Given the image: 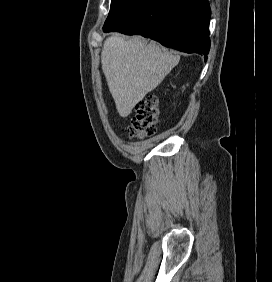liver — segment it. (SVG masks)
I'll return each mask as SVG.
<instances>
[{"label":"liver","instance_id":"6515ba94","mask_svg":"<svg viewBox=\"0 0 272 282\" xmlns=\"http://www.w3.org/2000/svg\"><path fill=\"white\" fill-rule=\"evenodd\" d=\"M179 60V55L161 49L155 42L148 43L140 36L129 40L117 35L107 38L101 64L119 115L127 117Z\"/></svg>","mask_w":272,"mask_h":282}]
</instances>
